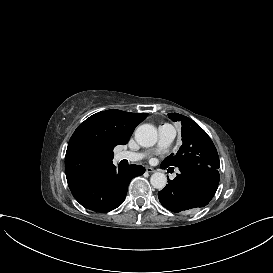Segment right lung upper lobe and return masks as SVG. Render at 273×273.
Returning a JSON list of instances; mask_svg holds the SVG:
<instances>
[{
  "instance_id": "obj_1",
  "label": "right lung upper lobe",
  "mask_w": 273,
  "mask_h": 273,
  "mask_svg": "<svg viewBox=\"0 0 273 273\" xmlns=\"http://www.w3.org/2000/svg\"><path fill=\"white\" fill-rule=\"evenodd\" d=\"M146 116L147 113L106 110L82 122L70 138L65 156L69 188L112 164L113 148L125 145Z\"/></svg>"
}]
</instances>
